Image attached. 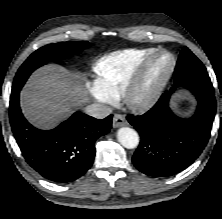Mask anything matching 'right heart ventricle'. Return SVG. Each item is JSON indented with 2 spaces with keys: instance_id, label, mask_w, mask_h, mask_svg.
Wrapping results in <instances>:
<instances>
[{
  "instance_id": "obj_1",
  "label": "right heart ventricle",
  "mask_w": 222,
  "mask_h": 219,
  "mask_svg": "<svg viewBox=\"0 0 222 219\" xmlns=\"http://www.w3.org/2000/svg\"><path fill=\"white\" fill-rule=\"evenodd\" d=\"M154 51V48L124 49L97 59L92 64L95 92L109 101L116 100L141 63Z\"/></svg>"
}]
</instances>
